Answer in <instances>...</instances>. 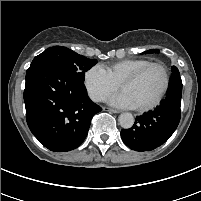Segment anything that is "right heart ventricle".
I'll return each instance as SVG.
<instances>
[{
	"mask_svg": "<svg viewBox=\"0 0 201 201\" xmlns=\"http://www.w3.org/2000/svg\"><path fill=\"white\" fill-rule=\"evenodd\" d=\"M149 62L146 59H125L103 67L112 80L119 85L124 78Z\"/></svg>",
	"mask_w": 201,
	"mask_h": 201,
	"instance_id": "1",
	"label": "right heart ventricle"
}]
</instances>
